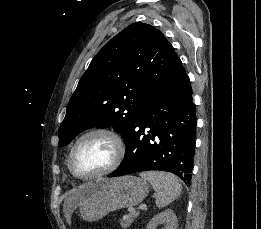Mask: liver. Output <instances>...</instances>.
<instances>
[{"label":"liver","mask_w":261,"mask_h":229,"mask_svg":"<svg viewBox=\"0 0 261 229\" xmlns=\"http://www.w3.org/2000/svg\"><path fill=\"white\" fill-rule=\"evenodd\" d=\"M91 191L90 189H87V187H84V185H81V187H78V189H73V191H70V203L72 207V211L80 205L81 201H85L87 197H89Z\"/></svg>","instance_id":"6515ba94"}]
</instances>
